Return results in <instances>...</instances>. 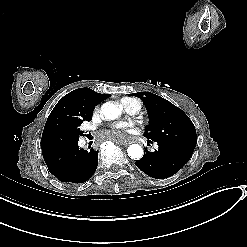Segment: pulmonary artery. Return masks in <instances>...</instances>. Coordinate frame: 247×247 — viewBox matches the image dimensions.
Returning a JSON list of instances; mask_svg holds the SVG:
<instances>
[{"label": "pulmonary artery", "instance_id": "pulmonary-artery-1", "mask_svg": "<svg viewBox=\"0 0 247 247\" xmlns=\"http://www.w3.org/2000/svg\"><path fill=\"white\" fill-rule=\"evenodd\" d=\"M153 149H156V145H155V146H153Z\"/></svg>", "mask_w": 247, "mask_h": 247}]
</instances>
